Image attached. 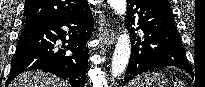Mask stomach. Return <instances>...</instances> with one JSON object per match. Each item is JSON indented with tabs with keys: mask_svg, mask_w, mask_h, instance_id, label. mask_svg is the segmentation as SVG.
Segmentation results:
<instances>
[{
	"mask_svg": "<svg viewBox=\"0 0 205 87\" xmlns=\"http://www.w3.org/2000/svg\"><path fill=\"white\" fill-rule=\"evenodd\" d=\"M168 79L159 72H150L140 76L131 87H166Z\"/></svg>",
	"mask_w": 205,
	"mask_h": 87,
	"instance_id": "obj_1",
	"label": "stomach"
}]
</instances>
